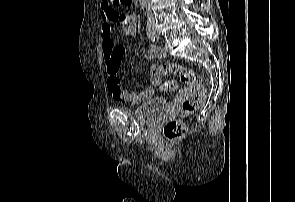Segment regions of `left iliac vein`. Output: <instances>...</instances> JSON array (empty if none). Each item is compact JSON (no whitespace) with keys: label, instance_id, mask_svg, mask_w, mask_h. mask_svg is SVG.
<instances>
[{"label":"left iliac vein","instance_id":"1","mask_svg":"<svg viewBox=\"0 0 295 202\" xmlns=\"http://www.w3.org/2000/svg\"><path fill=\"white\" fill-rule=\"evenodd\" d=\"M153 30H154L156 36L159 37V32L157 31V29L154 26H153Z\"/></svg>","mask_w":295,"mask_h":202}]
</instances>
